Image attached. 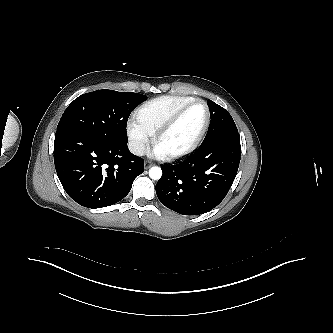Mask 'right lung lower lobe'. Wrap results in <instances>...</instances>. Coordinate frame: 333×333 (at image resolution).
Here are the masks:
<instances>
[{
  "label": "right lung lower lobe",
  "mask_w": 333,
  "mask_h": 333,
  "mask_svg": "<svg viewBox=\"0 0 333 333\" xmlns=\"http://www.w3.org/2000/svg\"><path fill=\"white\" fill-rule=\"evenodd\" d=\"M54 163L67 194L88 208L115 204L143 173L144 161L127 143H114L72 132L55 134Z\"/></svg>",
  "instance_id": "right-lung-lower-lobe-1"
}]
</instances>
